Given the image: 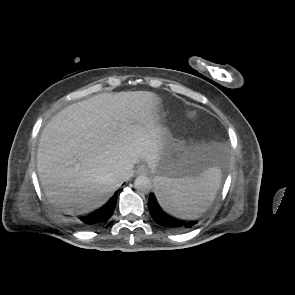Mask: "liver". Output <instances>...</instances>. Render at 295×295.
<instances>
[{"instance_id":"obj_1","label":"liver","mask_w":295,"mask_h":295,"mask_svg":"<svg viewBox=\"0 0 295 295\" xmlns=\"http://www.w3.org/2000/svg\"><path fill=\"white\" fill-rule=\"evenodd\" d=\"M153 92L101 93L57 113L42 131L37 170L49 202L85 213L104 204L145 161L155 168L167 129Z\"/></svg>"}]
</instances>
